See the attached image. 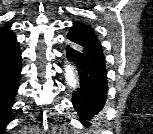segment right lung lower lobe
Instances as JSON below:
<instances>
[{"label":"right lung lower lobe","mask_w":153,"mask_h":134,"mask_svg":"<svg viewBox=\"0 0 153 134\" xmlns=\"http://www.w3.org/2000/svg\"><path fill=\"white\" fill-rule=\"evenodd\" d=\"M21 72V50L18 43L0 49V134L11 121L14 96Z\"/></svg>","instance_id":"98d812e1"}]
</instances>
